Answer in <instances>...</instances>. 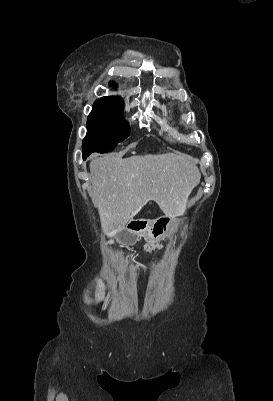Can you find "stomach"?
I'll return each mask as SVG.
<instances>
[{
	"mask_svg": "<svg viewBox=\"0 0 273 401\" xmlns=\"http://www.w3.org/2000/svg\"><path fill=\"white\" fill-rule=\"evenodd\" d=\"M180 223V219L172 217H158L154 221H147L145 229H141V235L151 241H163L171 231H175Z\"/></svg>",
	"mask_w": 273,
	"mask_h": 401,
	"instance_id": "0dacf381",
	"label": "stomach"
}]
</instances>
